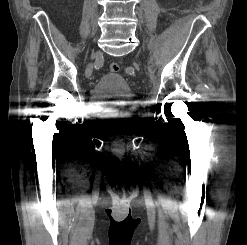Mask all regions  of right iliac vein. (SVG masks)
<instances>
[{"label":"right iliac vein","instance_id":"1","mask_svg":"<svg viewBox=\"0 0 247 245\" xmlns=\"http://www.w3.org/2000/svg\"><path fill=\"white\" fill-rule=\"evenodd\" d=\"M92 69H93L92 64H89V65L87 66V68H86V71H85L87 77H90V75H91V73H92Z\"/></svg>","mask_w":247,"mask_h":245}]
</instances>
